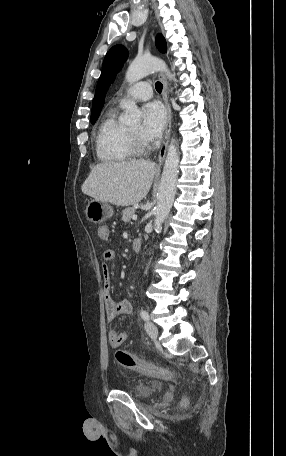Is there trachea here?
I'll use <instances>...</instances> for the list:
<instances>
[{
  "label": "trachea",
  "instance_id": "1",
  "mask_svg": "<svg viewBox=\"0 0 286 456\" xmlns=\"http://www.w3.org/2000/svg\"><path fill=\"white\" fill-rule=\"evenodd\" d=\"M155 88H156V90H157L158 93H161V92H162V88H163L162 83L156 82Z\"/></svg>",
  "mask_w": 286,
  "mask_h": 456
}]
</instances>
